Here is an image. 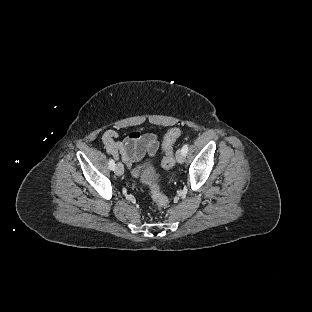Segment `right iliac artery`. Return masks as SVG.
Instances as JSON below:
<instances>
[{
  "mask_svg": "<svg viewBox=\"0 0 312 312\" xmlns=\"http://www.w3.org/2000/svg\"><path fill=\"white\" fill-rule=\"evenodd\" d=\"M109 168H110L111 170H114V169H115V162L113 161V159H110V160H109Z\"/></svg>",
  "mask_w": 312,
  "mask_h": 312,
  "instance_id": "1",
  "label": "right iliac artery"
}]
</instances>
